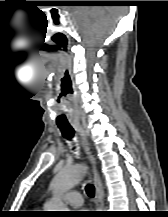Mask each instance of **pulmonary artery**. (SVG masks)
<instances>
[{"label":"pulmonary artery","instance_id":"obj_1","mask_svg":"<svg viewBox=\"0 0 168 217\" xmlns=\"http://www.w3.org/2000/svg\"><path fill=\"white\" fill-rule=\"evenodd\" d=\"M65 202L72 207H80L83 204L82 196L79 192L71 191L63 197Z\"/></svg>","mask_w":168,"mask_h":217}]
</instances>
